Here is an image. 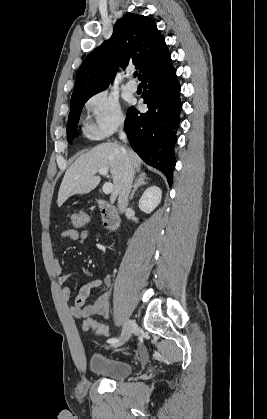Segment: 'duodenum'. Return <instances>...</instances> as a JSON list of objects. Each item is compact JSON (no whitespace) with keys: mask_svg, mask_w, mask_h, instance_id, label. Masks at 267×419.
I'll return each mask as SVG.
<instances>
[{"mask_svg":"<svg viewBox=\"0 0 267 419\" xmlns=\"http://www.w3.org/2000/svg\"><path fill=\"white\" fill-rule=\"evenodd\" d=\"M97 205L102 215L103 226L107 231L118 228L120 217L117 209L105 200H97Z\"/></svg>","mask_w":267,"mask_h":419,"instance_id":"1","label":"duodenum"}]
</instances>
